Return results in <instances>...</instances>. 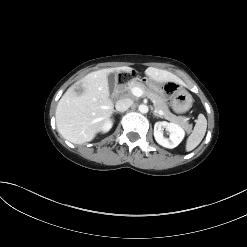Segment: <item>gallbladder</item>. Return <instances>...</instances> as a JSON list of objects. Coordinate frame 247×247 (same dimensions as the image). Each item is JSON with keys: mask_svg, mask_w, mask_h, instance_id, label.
Returning a JSON list of instances; mask_svg holds the SVG:
<instances>
[{"mask_svg": "<svg viewBox=\"0 0 247 247\" xmlns=\"http://www.w3.org/2000/svg\"><path fill=\"white\" fill-rule=\"evenodd\" d=\"M107 80H108L109 88L112 91L115 88L116 84H117V76H116V74L115 73H109L107 75Z\"/></svg>", "mask_w": 247, "mask_h": 247, "instance_id": "obj_1", "label": "gallbladder"}]
</instances>
